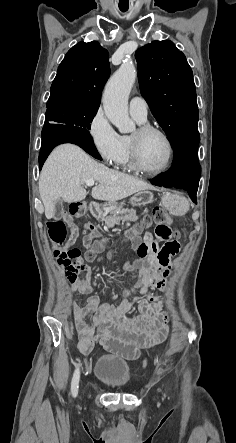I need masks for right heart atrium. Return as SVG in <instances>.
<instances>
[{"instance_id":"d8ad5b80","label":"right heart atrium","mask_w":236,"mask_h":443,"mask_svg":"<svg viewBox=\"0 0 236 443\" xmlns=\"http://www.w3.org/2000/svg\"><path fill=\"white\" fill-rule=\"evenodd\" d=\"M87 133L95 151L107 164L114 166L120 163L124 152L122 138L102 109H98L92 116Z\"/></svg>"}]
</instances>
